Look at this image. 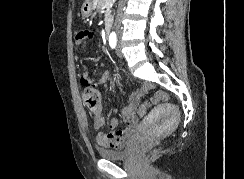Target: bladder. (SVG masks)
Returning <instances> with one entry per match:
<instances>
[{"mask_svg":"<svg viewBox=\"0 0 244 179\" xmlns=\"http://www.w3.org/2000/svg\"><path fill=\"white\" fill-rule=\"evenodd\" d=\"M97 153L104 159L118 160V159L126 158L130 153V149L115 151V150H106V149L98 148Z\"/></svg>","mask_w":244,"mask_h":179,"instance_id":"obj_1","label":"bladder"}]
</instances>
